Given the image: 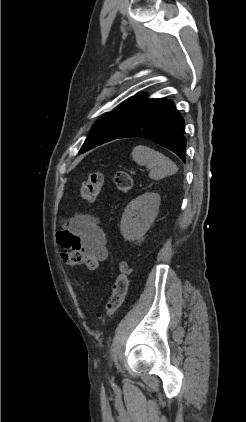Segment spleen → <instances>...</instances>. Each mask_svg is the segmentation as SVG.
Segmentation results:
<instances>
[{
  "label": "spleen",
  "instance_id": "spleen-1",
  "mask_svg": "<svg viewBox=\"0 0 246 422\" xmlns=\"http://www.w3.org/2000/svg\"><path fill=\"white\" fill-rule=\"evenodd\" d=\"M131 155L138 165H144L150 170L149 177L152 179L159 180L178 171L177 165L172 160L147 146L134 147Z\"/></svg>",
  "mask_w": 246,
  "mask_h": 422
}]
</instances>
